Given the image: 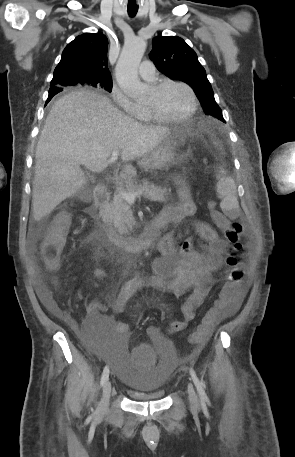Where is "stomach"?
I'll return each mask as SVG.
<instances>
[{"mask_svg":"<svg viewBox=\"0 0 295 457\" xmlns=\"http://www.w3.org/2000/svg\"><path fill=\"white\" fill-rule=\"evenodd\" d=\"M203 131L202 123L193 121L178 133L171 132L159 146L142 158L139 162L140 166L145 170H161L179 164L181 156L178 153V145L183 142L184 138L199 136Z\"/></svg>","mask_w":295,"mask_h":457,"instance_id":"stomach-1","label":"stomach"}]
</instances>
